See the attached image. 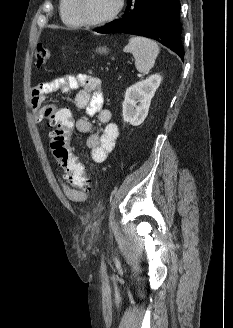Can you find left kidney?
Here are the masks:
<instances>
[{
	"label": "left kidney",
	"mask_w": 233,
	"mask_h": 328,
	"mask_svg": "<svg viewBox=\"0 0 233 328\" xmlns=\"http://www.w3.org/2000/svg\"><path fill=\"white\" fill-rule=\"evenodd\" d=\"M161 76L154 74L130 86L124 96L122 115L124 122L138 126L148 115L151 99L161 83Z\"/></svg>",
	"instance_id": "left-kidney-1"
}]
</instances>
